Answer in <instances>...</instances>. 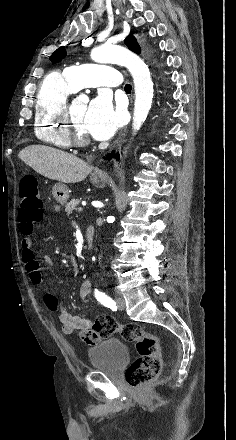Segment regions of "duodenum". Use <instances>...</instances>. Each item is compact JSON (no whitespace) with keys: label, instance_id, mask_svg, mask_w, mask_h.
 Masks as SVG:
<instances>
[{"label":"duodenum","instance_id":"duodenum-1","mask_svg":"<svg viewBox=\"0 0 236 440\" xmlns=\"http://www.w3.org/2000/svg\"><path fill=\"white\" fill-rule=\"evenodd\" d=\"M95 237V229L93 226H88L85 229V240H86V246L88 248H91L94 242Z\"/></svg>","mask_w":236,"mask_h":440}]
</instances>
